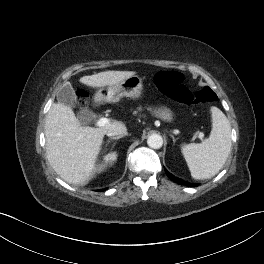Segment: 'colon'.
<instances>
[{
	"mask_svg": "<svg viewBox=\"0 0 264 264\" xmlns=\"http://www.w3.org/2000/svg\"><path fill=\"white\" fill-rule=\"evenodd\" d=\"M157 88L172 100L186 104L210 103L216 98L215 93L209 87H203L192 93L183 84V75L176 71L159 72L154 79ZM77 98L80 104L85 103L87 93L78 90Z\"/></svg>",
	"mask_w": 264,
	"mask_h": 264,
	"instance_id": "1",
	"label": "colon"
}]
</instances>
